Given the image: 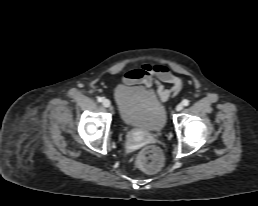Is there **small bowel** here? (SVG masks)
Segmentation results:
<instances>
[{"mask_svg":"<svg viewBox=\"0 0 258 206\" xmlns=\"http://www.w3.org/2000/svg\"><path fill=\"white\" fill-rule=\"evenodd\" d=\"M122 82L125 85L142 84L147 89L156 85L157 96L162 102L177 96L184 85L180 76L173 74L166 66L161 64H143L137 69L128 71ZM163 83L170 84V87L165 88Z\"/></svg>","mask_w":258,"mask_h":206,"instance_id":"small-bowel-1","label":"small bowel"}]
</instances>
